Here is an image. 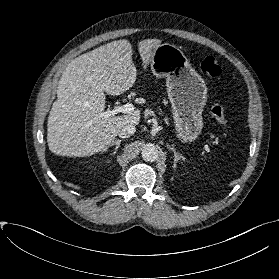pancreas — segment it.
<instances>
[{
    "label": "pancreas",
    "mask_w": 279,
    "mask_h": 279,
    "mask_svg": "<svg viewBox=\"0 0 279 279\" xmlns=\"http://www.w3.org/2000/svg\"><path fill=\"white\" fill-rule=\"evenodd\" d=\"M159 114L162 115V111L161 110L159 111Z\"/></svg>",
    "instance_id": "obj_1"
}]
</instances>
